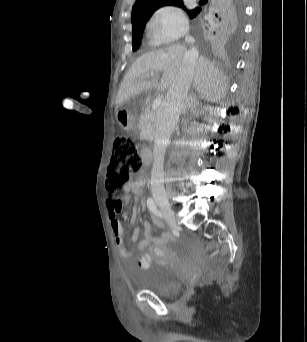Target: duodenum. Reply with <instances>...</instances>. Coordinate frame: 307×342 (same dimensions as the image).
I'll return each instance as SVG.
<instances>
[{"label":"duodenum","instance_id":"1","mask_svg":"<svg viewBox=\"0 0 307 342\" xmlns=\"http://www.w3.org/2000/svg\"><path fill=\"white\" fill-rule=\"evenodd\" d=\"M141 156L143 159V162L146 166H148L152 160V152L150 149L144 147L141 149Z\"/></svg>","mask_w":307,"mask_h":342}]
</instances>
